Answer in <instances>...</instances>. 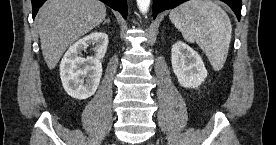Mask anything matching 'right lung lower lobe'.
Masks as SVG:
<instances>
[{
  "mask_svg": "<svg viewBox=\"0 0 276 145\" xmlns=\"http://www.w3.org/2000/svg\"><path fill=\"white\" fill-rule=\"evenodd\" d=\"M32 1V9L33 18L37 14L39 7L46 1V0H31ZM110 6L112 9L119 11L122 16L126 19L127 17V2L126 0H100Z\"/></svg>",
  "mask_w": 276,
  "mask_h": 145,
  "instance_id": "98d812e1",
  "label": "right lung lower lobe"
}]
</instances>
